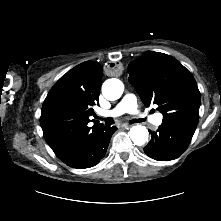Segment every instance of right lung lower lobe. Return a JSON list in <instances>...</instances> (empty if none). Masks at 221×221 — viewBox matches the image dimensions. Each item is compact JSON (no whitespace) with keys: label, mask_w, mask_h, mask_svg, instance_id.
<instances>
[{"label":"right lung lower lobe","mask_w":221,"mask_h":221,"mask_svg":"<svg viewBox=\"0 0 221 221\" xmlns=\"http://www.w3.org/2000/svg\"><path fill=\"white\" fill-rule=\"evenodd\" d=\"M115 131L116 127L103 126L94 131L78 149L61 160L73 168L95 166L105 156L109 141Z\"/></svg>","instance_id":"right-lung-lower-lobe-1"}]
</instances>
